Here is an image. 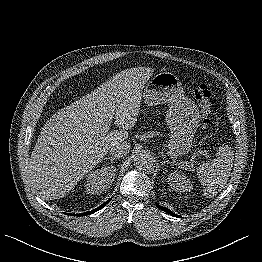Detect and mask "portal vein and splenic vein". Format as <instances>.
Here are the masks:
<instances>
[{"instance_id": "portal-vein-and-splenic-vein-1", "label": "portal vein and splenic vein", "mask_w": 262, "mask_h": 262, "mask_svg": "<svg viewBox=\"0 0 262 262\" xmlns=\"http://www.w3.org/2000/svg\"><path fill=\"white\" fill-rule=\"evenodd\" d=\"M112 119H113V115H110L108 121L102 128L103 133H107L109 131L111 123H112ZM198 152L200 153V155L204 156L206 159L208 160L211 159V155H209L206 151L199 150Z\"/></svg>"}]
</instances>
